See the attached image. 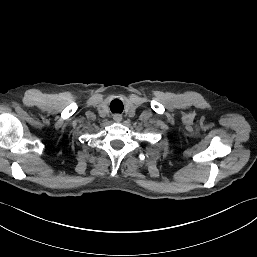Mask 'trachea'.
I'll return each mask as SVG.
<instances>
[{
	"label": "trachea",
	"instance_id": "trachea-1",
	"mask_svg": "<svg viewBox=\"0 0 257 257\" xmlns=\"http://www.w3.org/2000/svg\"><path fill=\"white\" fill-rule=\"evenodd\" d=\"M123 103L119 99H115L110 104V110L113 113H121L123 111Z\"/></svg>",
	"mask_w": 257,
	"mask_h": 257
}]
</instances>
